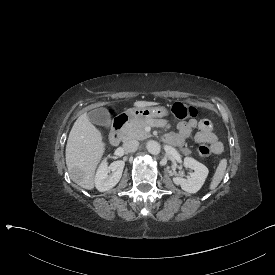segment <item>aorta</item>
Wrapping results in <instances>:
<instances>
[{
  "instance_id": "1",
  "label": "aorta",
  "mask_w": 275,
  "mask_h": 275,
  "mask_svg": "<svg viewBox=\"0 0 275 275\" xmlns=\"http://www.w3.org/2000/svg\"><path fill=\"white\" fill-rule=\"evenodd\" d=\"M146 148L148 150L149 153L153 154V155H157L160 153V144L154 140H150L147 142L146 144Z\"/></svg>"
}]
</instances>
